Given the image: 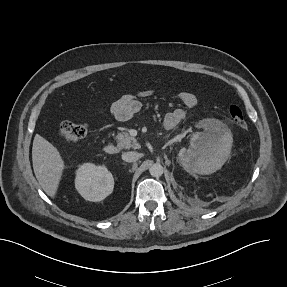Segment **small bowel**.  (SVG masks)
Returning <instances> with one entry per match:
<instances>
[{"label": "small bowel", "mask_w": 287, "mask_h": 287, "mask_svg": "<svg viewBox=\"0 0 287 287\" xmlns=\"http://www.w3.org/2000/svg\"><path fill=\"white\" fill-rule=\"evenodd\" d=\"M152 95L151 90H143L139 93H127L122 95L116 100L111 108L113 115L120 121H126L137 114L141 109L140 98L148 97ZM180 99L186 107H194L197 104V97L190 91H182L180 93ZM185 110L176 108L168 112L164 118V126L167 129H173L185 117Z\"/></svg>", "instance_id": "c3829d8e"}]
</instances>
